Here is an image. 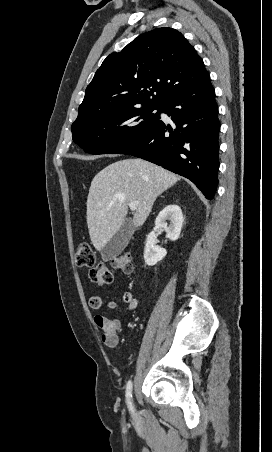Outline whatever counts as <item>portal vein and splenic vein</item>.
Listing matches in <instances>:
<instances>
[{
    "label": "portal vein and splenic vein",
    "instance_id": "portal-vein-and-splenic-vein-1",
    "mask_svg": "<svg viewBox=\"0 0 272 452\" xmlns=\"http://www.w3.org/2000/svg\"><path fill=\"white\" fill-rule=\"evenodd\" d=\"M129 208H130L132 211H135V210H136V202H130V203H129Z\"/></svg>",
    "mask_w": 272,
    "mask_h": 452
}]
</instances>
